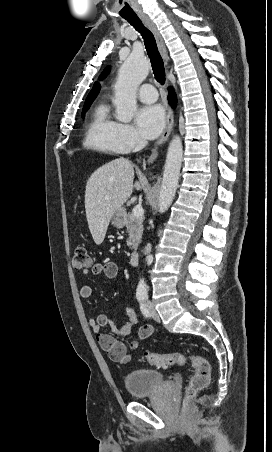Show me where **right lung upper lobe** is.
<instances>
[{"mask_svg":"<svg viewBox=\"0 0 272 452\" xmlns=\"http://www.w3.org/2000/svg\"><path fill=\"white\" fill-rule=\"evenodd\" d=\"M100 85L98 83H95L92 90L90 91L88 97L86 98L85 104L92 103V101L95 99L96 95L99 93Z\"/></svg>","mask_w":272,"mask_h":452,"instance_id":"1","label":"right lung upper lobe"}]
</instances>
